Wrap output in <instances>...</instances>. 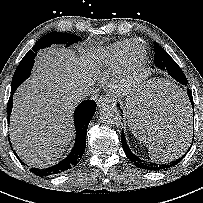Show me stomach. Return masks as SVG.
Wrapping results in <instances>:
<instances>
[{"label":"stomach","mask_w":203,"mask_h":203,"mask_svg":"<svg viewBox=\"0 0 203 203\" xmlns=\"http://www.w3.org/2000/svg\"><path fill=\"white\" fill-rule=\"evenodd\" d=\"M140 96L143 98L142 101L145 100V98H144V93H141ZM134 98H135V97H130V98H128L127 103L131 102ZM137 107H138V106H137ZM132 110H133V109L129 110L128 113H129V112L131 113ZM136 132H137V133H140V131H136Z\"/></svg>","instance_id":"obj_1"}]
</instances>
